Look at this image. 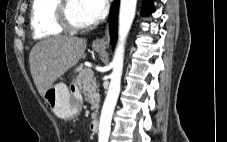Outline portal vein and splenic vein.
Masks as SVG:
<instances>
[{
    "instance_id": "1",
    "label": "portal vein and splenic vein",
    "mask_w": 227,
    "mask_h": 142,
    "mask_svg": "<svg viewBox=\"0 0 227 142\" xmlns=\"http://www.w3.org/2000/svg\"><path fill=\"white\" fill-rule=\"evenodd\" d=\"M86 76L88 80H92L93 79V72L91 70L86 72Z\"/></svg>"
}]
</instances>
